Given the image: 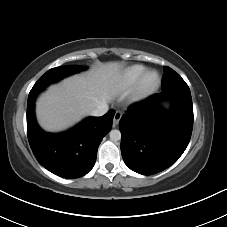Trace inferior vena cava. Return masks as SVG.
I'll return each mask as SVG.
<instances>
[{
  "mask_svg": "<svg viewBox=\"0 0 227 227\" xmlns=\"http://www.w3.org/2000/svg\"><path fill=\"white\" fill-rule=\"evenodd\" d=\"M107 111H108V105H107V103L104 102V103L100 104L97 108L92 110L90 115L98 117V116L104 115Z\"/></svg>",
  "mask_w": 227,
  "mask_h": 227,
  "instance_id": "1",
  "label": "inferior vena cava"
}]
</instances>
